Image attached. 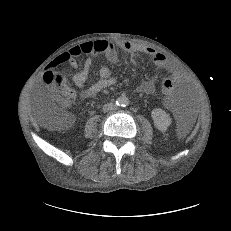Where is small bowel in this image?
Segmentation results:
<instances>
[{
    "mask_svg": "<svg viewBox=\"0 0 231 231\" xmlns=\"http://www.w3.org/2000/svg\"><path fill=\"white\" fill-rule=\"evenodd\" d=\"M117 48L133 56L138 54H146L151 56L156 66L163 68L172 74L173 80L176 82V86L182 85L186 81V74L184 71L171 63L165 54L158 52L151 47L136 46L127 41L118 42L116 45L107 40L85 42L78 46L72 47L67 52L55 58L49 64L47 69H54L63 63H67L69 66L77 68L78 63L76 59L81 55H87L81 69L72 77L74 85L78 88H83L87 80L89 70L92 66L93 57L97 55H104L109 62H115L118 58ZM62 58L65 59L61 62ZM99 75L100 78L96 82L81 92L82 98L87 99L93 97L103 90L115 85L116 79L112 76L111 70L108 66H102L99 70ZM153 90V82H148L144 86L145 92L149 93ZM173 100V92L170 94H165L164 104L167 107L170 108L172 106Z\"/></svg>",
    "mask_w": 231,
    "mask_h": 231,
    "instance_id": "small-bowel-1",
    "label": "small bowel"
}]
</instances>
